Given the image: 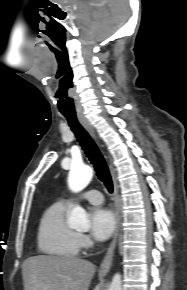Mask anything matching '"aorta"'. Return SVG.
Returning a JSON list of instances; mask_svg holds the SVG:
<instances>
[{
	"label": "aorta",
	"instance_id": "obj_1",
	"mask_svg": "<svg viewBox=\"0 0 187 290\" xmlns=\"http://www.w3.org/2000/svg\"><path fill=\"white\" fill-rule=\"evenodd\" d=\"M92 177L91 167L86 165L73 166L69 173L68 186L71 191L80 192L90 183ZM68 224L73 229L88 230L90 227L88 214L81 206L77 205L70 213ZM108 290H122V280L119 273L113 276Z\"/></svg>",
	"mask_w": 187,
	"mask_h": 290
}]
</instances>
